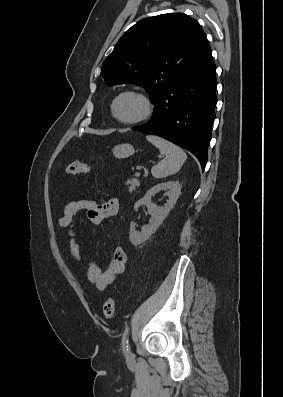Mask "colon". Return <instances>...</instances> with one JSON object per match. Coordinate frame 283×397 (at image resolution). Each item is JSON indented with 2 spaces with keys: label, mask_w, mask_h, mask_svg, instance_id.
Wrapping results in <instances>:
<instances>
[{
  "label": "colon",
  "mask_w": 283,
  "mask_h": 397,
  "mask_svg": "<svg viewBox=\"0 0 283 397\" xmlns=\"http://www.w3.org/2000/svg\"><path fill=\"white\" fill-rule=\"evenodd\" d=\"M65 172L70 175H83L86 177L91 176V168L88 164L81 161H74L69 163ZM116 303L113 298H108L103 305V314L105 318H112L115 314Z\"/></svg>",
  "instance_id": "obj_1"
}]
</instances>
